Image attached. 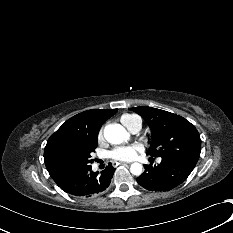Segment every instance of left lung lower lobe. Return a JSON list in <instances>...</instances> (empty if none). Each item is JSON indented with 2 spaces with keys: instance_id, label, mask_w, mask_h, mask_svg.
Instances as JSON below:
<instances>
[{
  "instance_id": "0a47b994",
  "label": "left lung lower lobe",
  "mask_w": 233,
  "mask_h": 233,
  "mask_svg": "<svg viewBox=\"0 0 233 233\" xmlns=\"http://www.w3.org/2000/svg\"><path fill=\"white\" fill-rule=\"evenodd\" d=\"M160 158L157 166L144 165L145 171L136 179L147 190L169 191L184 182L195 167L174 157Z\"/></svg>"
}]
</instances>
